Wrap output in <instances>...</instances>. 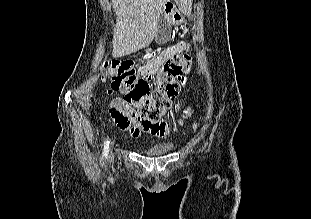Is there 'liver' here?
Here are the masks:
<instances>
[{
  "label": "liver",
  "instance_id": "obj_1",
  "mask_svg": "<svg viewBox=\"0 0 311 219\" xmlns=\"http://www.w3.org/2000/svg\"><path fill=\"white\" fill-rule=\"evenodd\" d=\"M169 0H112L117 15L113 56L121 57L147 47L156 36L162 7ZM190 15L191 0H175Z\"/></svg>",
  "mask_w": 311,
  "mask_h": 219
}]
</instances>
